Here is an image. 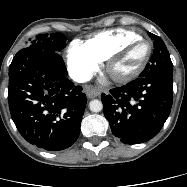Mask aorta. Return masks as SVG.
Segmentation results:
<instances>
[{"label": "aorta", "mask_w": 187, "mask_h": 187, "mask_svg": "<svg viewBox=\"0 0 187 187\" xmlns=\"http://www.w3.org/2000/svg\"><path fill=\"white\" fill-rule=\"evenodd\" d=\"M89 108L92 112L97 113L103 109V104L100 100L94 99V100L90 101Z\"/></svg>", "instance_id": "aorta-1"}]
</instances>
